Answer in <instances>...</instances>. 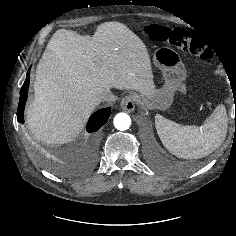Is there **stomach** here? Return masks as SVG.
<instances>
[{
  "label": "stomach",
  "instance_id": "stomach-1",
  "mask_svg": "<svg viewBox=\"0 0 236 236\" xmlns=\"http://www.w3.org/2000/svg\"><path fill=\"white\" fill-rule=\"evenodd\" d=\"M153 63L162 71L164 83L149 92L140 93L137 101L148 109L166 110L172 105L176 93L183 90L186 69L180 55L169 47L155 50Z\"/></svg>",
  "mask_w": 236,
  "mask_h": 236
}]
</instances>
